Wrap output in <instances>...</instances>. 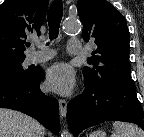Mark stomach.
Returning a JSON list of instances; mask_svg holds the SVG:
<instances>
[{
	"label": "stomach",
	"mask_w": 144,
	"mask_h": 137,
	"mask_svg": "<svg viewBox=\"0 0 144 137\" xmlns=\"http://www.w3.org/2000/svg\"><path fill=\"white\" fill-rule=\"evenodd\" d=\"M90 137H106V133L104 131H97L92 133Z\"/></svg>",
	"instance_id": "1"
}]
</instances>
